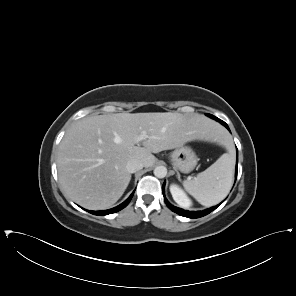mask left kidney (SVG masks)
<instances>
[{
  "mask_svg": "<svg viewBox=\"0 0 296 296\" xmlns=\"http://www.w3.org/2000/svg\"><path fill=\"white\" fill-rule=\"evenodd\" d=\"M170 192L174 201L183 208H189L192 205L191 200L188 198L184 190L177 184L170 185Z\"/></svg>",
  "mask_w": 296,
  "mask_h": 296,
  "instance_id": "left-kidney-1",
  "label": "left kidney"
}]
</instances>
